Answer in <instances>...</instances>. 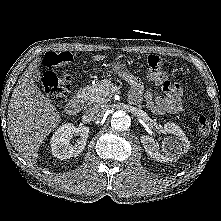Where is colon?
<instances>
[{"instance_id":"5ec220e1","label":"colon","mask_w":221,"mask_h":221,"mask_svg":"<svg viewBox=\"0 0 221 221\" xmlns=\"http://www.w3.org/2000/svg\"><path fill=\"white\" fill-rule=\"evenodd\" d=\"M72 59L70 52H49L44 57L43 64L47 70L43 74L42 85L44 93L52 100H60L66 97L71 90ZM165 63V60L158 55L152 54L147 58L149 76L161 86L168 83V77L162 71ZM53 69L61 71V76H58ZM197 127L200 134L207 135L211 131L210 120L206 116H200Z\"/></svg>"}]
</instances>
